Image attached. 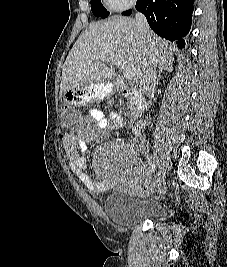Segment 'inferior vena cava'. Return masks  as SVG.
I'll return each mask as SVG.
<instances>
[{"instance_id": "1", "label": "inferior vena cava", "mask_w": 227, "mask_h": 267, "mask_svg": "<svg viewBox=\"0 0 227 267\" xmlns=\"http://www.w3.org/2000/svg\"><path fill=\"white\" fill-rule=\"evenodd\" d=\"M135 22L141 38L146 41L150 34V28L146 17L139 12L135 13ZM156 62L151 59L147 62L141 81L139 82L145 94L153 93L156 87Z\"/></svg>"}]
</instances>
